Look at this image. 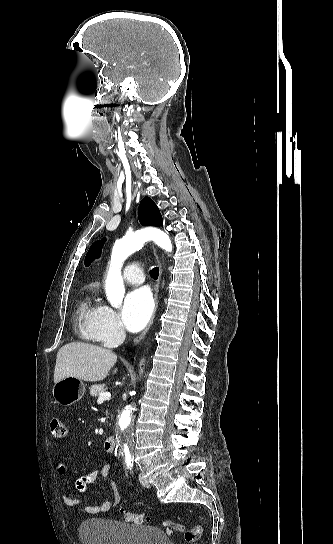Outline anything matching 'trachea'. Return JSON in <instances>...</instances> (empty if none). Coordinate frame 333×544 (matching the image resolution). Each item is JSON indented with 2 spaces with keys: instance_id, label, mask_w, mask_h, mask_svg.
Wrapping results in <instances>:
<instances>
[{
  "instance_id": "obj_1",
  "label": "trachea",
  "mask_w": 333,
  "mask_h": 544,
  "mask_svg": "<svg viewBox=\"0 0 333 544\" xmlns=\"http://www.w3.org/2000/svg\"><path fill=\"white\" fill-rule=\"evenodd\" d=\"M151 276L153 277V279H157L158 276H159V268L158 267H154L152 270H151Z\"/></svg>"
}]
</instances>
